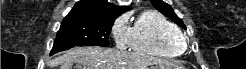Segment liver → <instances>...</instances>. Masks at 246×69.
<instances>
[{
  "label": "liver",
  "instance_id": "6515ba94",
  "mask_svg": "<svg viewBox=\"0 0 246 69\" xmlns=\"http://www.w3.org/2000/svg\"><path fill=\"white\" fill-rule=\"evenodd\" d=\"M60 69H146L152 64L168 63L148 55H140L101 47L74 48L56 59Z\"/></svg>",
  "mask_w": 246,
  "mask_h": 69
}]
</instances>
